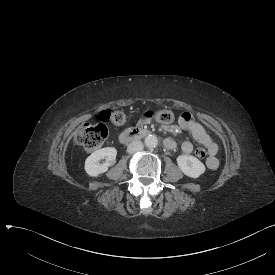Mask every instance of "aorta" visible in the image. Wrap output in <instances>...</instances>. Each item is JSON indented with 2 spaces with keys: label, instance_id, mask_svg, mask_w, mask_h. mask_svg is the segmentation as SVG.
<instances>
[{
  "label": "aorta",
  "instance_id": "1",
  "mask_svg": "<svg viewBox=\"0 0 275 275\" xmlns=\"http://www.w3.org/2000/svg\"><path fill=\"white\" fill-rule=\"evenodd\" d=\"M158 144V139L154 135H149L145 138V145L149 148H154Z\"/></svg>",
  "mask_w": 275,
  "mask_h": 275
}]
</instances>
